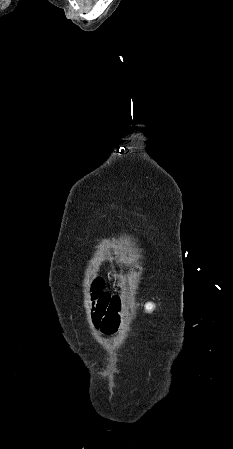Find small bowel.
Wrapping results in <instances>:
<instances>
[{"mask_svg":"<svg viewBox=\"0 0 233 449\" xmlns=\"http://www.w3.org/2000/svg\"><path fill=\"white\" fill-rule=\"evenodd\" d=\"M93 301H95V299H93ZM93 320V318H92ZM94 323V322H93ZM95 325V323H94ZM120 326V323H117V327L116 328H99L103 333L107 334V335H112L114 333L117 332L118 328Z\"/></svg>","mask_w":233,"mask_h":449,"instance_id":"small-bowel-1","label":"small bowel"}]
</instances>
